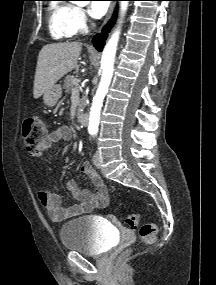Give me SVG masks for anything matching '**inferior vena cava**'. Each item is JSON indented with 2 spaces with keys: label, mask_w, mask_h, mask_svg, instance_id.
Listing matches in <instances>:
<instances>
[{
  "label": "inferior vena cava",
  "mask_w": 216,
  "mask_h": 285,
  "mask_svg": "<svg viewBox=\"0 0 216 285\" xmlns=\"http://www.w3.org/2000/svg\"><path fill=\"white\" fill-rule=\"evenodd\" d=\"M94 25H95L94 23H91V26H92V27H94Z\"/></svg>",
  "instance_id": "obj_1"
}]
</instances>
